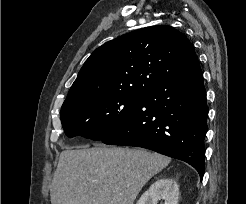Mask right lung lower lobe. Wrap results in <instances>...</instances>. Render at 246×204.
Wrapping results in <instances>:
<instances>
[{"label": "right lung lower lobe", "mask_w": 246, "mask_h": 204, "mask_svg": "<svg viewBox=\"0 0 246 204\" xmlns=\"http://www.w3.org/2000/svg\"><path fill=\"white\" fill-rule=\"evenodd\" d=\"M208 108L198 60L154 84L135 101L130 115L101 141L137 146L180 159L202 179Z\"/></svg>", "instance_id": "98d812e1"}]
</instances>
